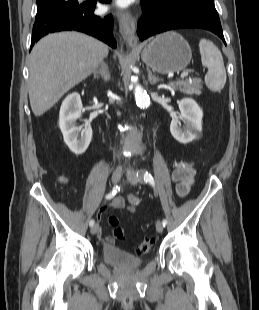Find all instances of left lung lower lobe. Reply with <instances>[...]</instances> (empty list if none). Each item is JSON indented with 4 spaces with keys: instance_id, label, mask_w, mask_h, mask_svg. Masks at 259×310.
I'll use <instances>...</instances> for the list:
<instances>
[{
    "instance_id": "left-lung-lower-lobe-1",
    "label": "left lung lower lobe",
    "mask_w": 259,
    "mask_h": 310,
    "mask_svg": "<svg viewBox=\"0 0 259 310\" xmlns=\"http://www.w3.org/2000/svg\"><path fill=\"white\" fill-rule=\"evenodd\" d=\"M141 6L143 16L137 24V34L141 41L172 29L201 28L215 33L226 44L215 6L193 4L171 11H160L147 0H141Z\"/></svg>"
}]
</instances>
